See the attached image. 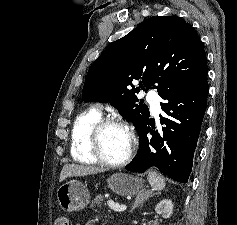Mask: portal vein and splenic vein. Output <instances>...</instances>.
<instances>
[{
    "label": "portal vein and splenic vein",
    "instance_id": "obj_1",
    "mask_svg": "<svg viewBox=\"0 0 237 225\" xmlns=\"http://www.w3.org/2000/svg\"><path fill=\"white\" fill-rule=\"evenodd\" d=\"M107 204L115 212H123L127 208L126 205L115 204L114 201L112 200H109Z\"/></svg>",
    "mask_w": 237,
    "mask_h": 225
}]
</instances>
